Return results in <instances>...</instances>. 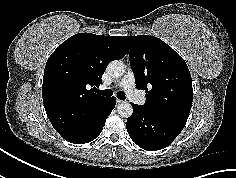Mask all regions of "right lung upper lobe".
<instances>
[{
    "instance_id": "right-lung-upper-lobe-1",
    "label": "right lung upper lobe",
    "mask_w": 236,
    "mask_h": 178,
    "mask_svg": "<svg viewBox=\"0 0 236 178\" xmlns=\"http://www.w3.org/2000/svg\"><path fill=\"white\" fill-rule=\"evenodd\" d=\"M127 53L122 36L79 33L51 54L44 70L42 96L46 114L59 134L83 127L101 112L109 98L94 89L102 84L108 63Z\"/></svg>"
}]
</instances>
